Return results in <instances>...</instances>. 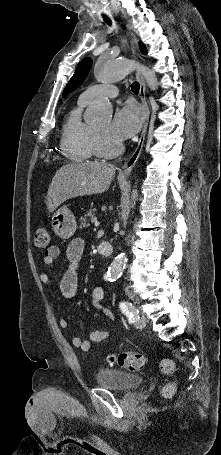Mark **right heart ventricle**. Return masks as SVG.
<instances>
[{"instance_id": "right-heart-ventricle-1", "label": "right heart ventricle", "mask_w": 221, "mask_h": 455, "mask_svg": "<svg viewBox=\"0 0 221 455\" xmlns=\"http://www.w3.org/2000/svg\"><path fill=\"white\" fill-rule=\"evenodd\" d=\"M86 105L87 102L79 97L77 105L67 114L61 132V150L68 159L75 162L87 161L95 155L92 127L81 118L82 109Z\"/></svg>"}]
</instances>
